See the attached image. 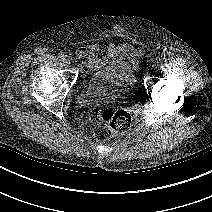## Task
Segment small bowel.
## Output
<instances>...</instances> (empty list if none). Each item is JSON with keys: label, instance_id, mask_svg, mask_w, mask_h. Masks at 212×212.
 I'll list each match as a JSON object with an SVG mask.
<instances>
[{"label": "small bowel", "instance_id": "c3829d8e", "mask_svg": "<svg viewBox=\"0 0 212 212\" xmlns=\"http://www.w3.org/2000/svg\"><path fill=\"white\" fill-rule=\"evenodd\" d=\"M77 55L81 58H87L91 68H100L101 66L113 60L122 62L129 59L134 65L138 64V55L126 46L110 43L105 47L98 44H87L80 47Z\"/></svg>", "mask_w": 212, "mask_h": 212}]
</instances>
